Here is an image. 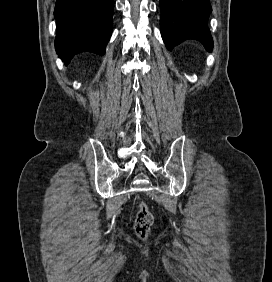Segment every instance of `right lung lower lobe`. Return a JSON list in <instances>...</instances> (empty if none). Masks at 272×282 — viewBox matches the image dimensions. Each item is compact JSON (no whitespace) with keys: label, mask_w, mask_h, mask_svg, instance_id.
<instances>
[{"label":"right lung lower lobe","mask_w":272,"mask_h":282,"mask_svg":"<svg viewBox=\"0 0 272 282\" xmlns=\"http://www.w3.org/2000/svg\"><path fill=\"white\" fill-rule=\"evenodd\" d=\"M113 0H57L55 49L68 65L78 53L104 55L112 33Z\"/></svg>","instance_id":"98d812e1"}]
</instances>
